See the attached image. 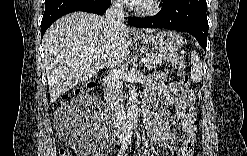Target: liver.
I'll list each match as a JSON object with an SVG mask.
<instances>
[{
	"instance_id": "6515ba94",
	"label": "liver",
	"mask_w": 247,
	"mask_h": 156,
	"mask_svg": "<svg viewBox=\"0 0 247 156\" xmlns=\"http://www.w3.org/2000/svg\"><path fill=\"white\" fill-rule=\"evenodd\" d=\"M130 35L125 25L111 30L104 17L86 12H73L54 22L42 40L51 102L104 67L125 61Z\"/></svg>"
}]
</instances>
